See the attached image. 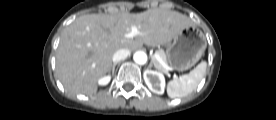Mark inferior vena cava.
<instances>
[{
  "mask_svg": "<svg viewBox=\"0 0 276 120\" xmlns=\"http://www.w3.org/2000/svg\"><path fill=\"white\" fill-rule=\"evenodd\" d=\"M129 55L130 51L128 49H119L114 53L112 60L114 63H117L121 60L126 59Z\"/></svg>",
  "mask_w": 276,
  "mask_h": 120,
  "instance_id": "602c4592",
  "label": "inferior vena cava"
}]
</instances>
